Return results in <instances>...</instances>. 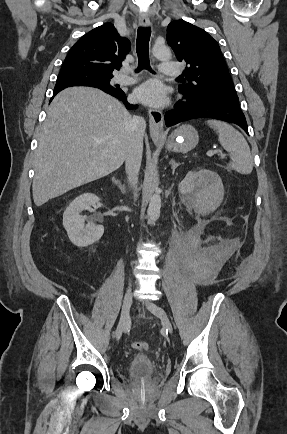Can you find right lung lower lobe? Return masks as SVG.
I'll return each mask as SVG.
<instances>
[{"label":"right lung lower lobe","instance_id":"obj_1","mask_svg":"<svg viewBox=\"0 0 287 434\" xmlns=\"http://www.w3.org/2000/svg\"><path fill=\"white\" fill-rule=\"evenodd\" d=\"M66 87H69V86H63V87H60L59 89L54 88L53 96H55L59 91H61L62 89L66 88ZM102 90L104 92L110 94L111 96L121 100L125 104L126 108H128V109L137 108V105H131L127 102V97H126L125 93L120 88H116L114 90H104V89H102Z\"/></svg>","mask_w":287,"mask_h":434}]
</instances>
